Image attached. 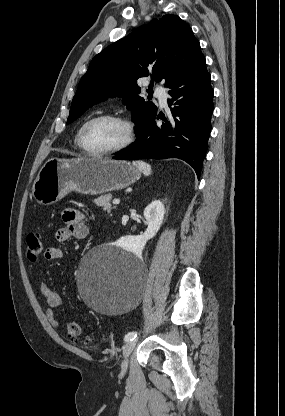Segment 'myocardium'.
<instances>
[{
	"mask_svg": "<svg viewBox=\"0 0 285 416\" xmlns=\"http://www.w3.org/2000/svg\"><path fill=\"white\" fill-rule=\"evenodd\" d=\"M98 119H109V120L115 121L122 127L124 136H123V140L121 141L119 145H117L114 148L103 150V151H95V150L89 149L85 145L84 137H83L84 131L91 122L98 120ZM132 137H133L132 126L124 117L117 115V114H112V113H101V114H97V115L90 117L81 126L78 132V145L86 154L90 156H95V157L111 156V155L119 154L125 149H127L132 142Z\"/></svg>",
	"mask_w": 285,
	"mask_h": 416,
	"instance_id": "f54148a6",
	"label": "myocardium"
}]
</instances>
